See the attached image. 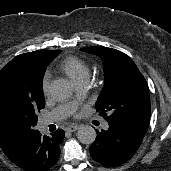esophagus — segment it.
<instances>
[{
  "mask_svg": "<svg viewBox=\"0 0 171 171\" xmlns=\"http://www.w3.org/2000/svg\"><path fill=\"white\" fill-rule=\"evenodd\" d=\"M79 125H70L65 128L66 131L68 132H74L79 129Z\"/></svg>",
  "mask_w": 171,
  "mask_h": 171,
  "instance_id": "1",
  "label": "esophagus"
}]
</instances>
